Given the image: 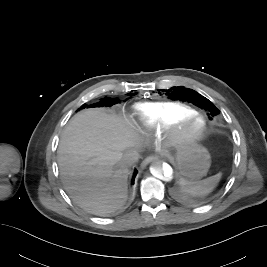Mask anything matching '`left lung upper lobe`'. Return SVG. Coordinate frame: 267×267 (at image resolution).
I'll return each instance as SVG.
<instances>
[{"label":"left lung upper lobe","mask_w":267,"mask_h":267,"mask_svg":"<svg viewBox=\"0 0 267 267\" xmlns=\"http://www.w3.org/2000/svg\"><path fill=\"white\" fill-rule=\"evenodd\" d=\"M168 97L175 100L179 99L190 103L192 102L197 106L207 110L211 116H216L220 112L211 101L200 95L197 89L191 86L187 88L184 86L172 87L168 91Z\"/></svg>","instance_id":"obj_1"}]
</instances>
